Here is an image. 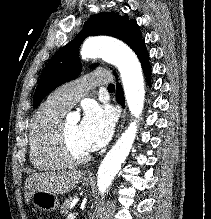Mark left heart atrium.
Here are the masks:
<instances>
[{
    "label": "left heart atrium",
    "mask_w": 211,
    "mask_h": 219,
    "mask_svg": "<svg viewBox=\"0 0 211 219\" xmlns=\"http://www.w3.org/2000/svg\"><path fill=\"white\" fill-rule=\"evenodd\" d=\"M79 130L83 146L88 152H93L105 146L110 140L114 120L108 109L93 104L86 108Z\"/></svg>",
    "instance_id": "1"
}]
</instances>
